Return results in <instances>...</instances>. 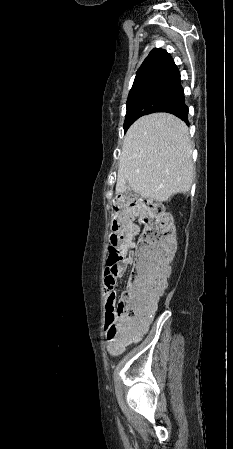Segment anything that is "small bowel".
Listing matches in <instances>:
<instances>
[{
    "mask_svg": "<svg viewBox=\"0 0 233 449\" xmlns=\"http://www.w3.org/2000/svg\"><path fill=\"white\" fill-rule=\"evenodd\" d=\"M139 233V227L136 225L135 234ZM133 263L132 257H127L123 261L110 265L104 277V294L106 296V307L108 312L115 307L117 300V280L124 274L128 266ZM146 327L145 323H141L137 331H143ZM127 346V345H126ZM124 346V347H126ZM122 347L121 349H123ZM109 348L114 351L115 346L113 342L109 341ZM120 349V350H121Z\"/></svg>",
    "mask_w": 233,
    "mask_h": 449,
    "instance_id": "small-bowel-1",
    "label": "small bowel"
}]
</instances>
